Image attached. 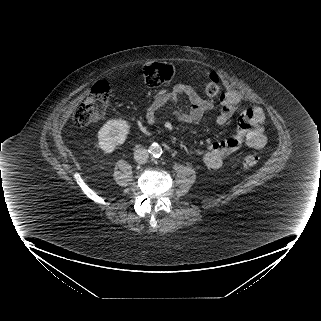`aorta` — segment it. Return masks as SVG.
<instances>
[{
    "instance_id": "762f6f07",
    "label": "aorta",
    "mask_w": 321,
    "mask_h": 321,
    "mask_svg": "<svg viewBox=\"0 0 321 321\" xmlns=\"http://www.w3.org/2000/svg\"><path fill=\"white\" fill-rule=\"evenodd\" d=\"M148 151L152 156L159 157L162 154V147L157 143H153L149 146Z\"/></svg>"
}]
</instances>
